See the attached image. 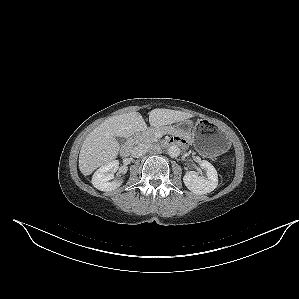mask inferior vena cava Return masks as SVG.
<instances>
[{
  "instance_id": "602c4592",
  "label": "inferior vena cava",
  "mask_w": 299,
  "mask_h": 299,
  "mask_svg": "<svg viewBox=\"0 0 299 299\" xmlns=\"http://www.w3.org/2000/svg\"><path fill=\"white\" fill-rule=\"evenodd\" d=\"M149 148L150 146L147 144H139L132 149L131 154L133 157L138 158L143 156Z\"/></svg>"
}]
</instances>
